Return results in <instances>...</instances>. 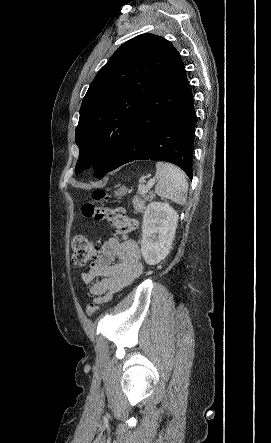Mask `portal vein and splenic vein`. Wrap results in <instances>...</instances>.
Listing matches in <instances>:
<instances>
[{"mask_svg": "<svg viewBox=\"0 0 271 443\" xmlns=\"http://www.w3.org/2000/svg\"><path fill=\"white\" fill-rule=\"evenodd\" d=\"M156 180H149V182L145 183L144 187L141 188V194H147L151 192L153 188V184H155Z\"/></svg>", "mask_w": 271, "mask_h": 443, "instance_id": "1", "label": "portal vein and splenic vein"}]
</instances>
